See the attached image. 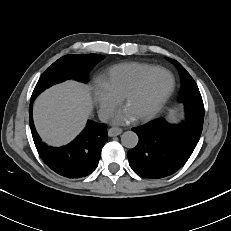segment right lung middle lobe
Here are the masks:
<instances>
[{
	"label": "right lung middle lobe",
	"mask_w": 231,
	"mask_h": 231,
	"mask_svg": "<svg viewBox=\"0 0 231 231\" xmlns=\"http://www.w3.org/2000/svg\"><path fill=\"white\" fill-rule=\"evenodd\" d=\"M99 54L66 55L54 62L40 77L37 82L31 100L50 86L73 78L86 82L88 72L102 59Z\"/></svg>",
	"instance_id": "obj_1"
}]
</instances>
